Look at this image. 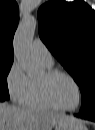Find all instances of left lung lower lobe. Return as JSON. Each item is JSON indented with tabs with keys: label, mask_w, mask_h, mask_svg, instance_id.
<instances>
[{
	"label": "left lung lower lobe",
	"mask_w": 95,
	"mask_h": 130,
	"mask_svg": "<svg viewBox=\"0 0 95 130\" xmlns=\"http://www.w3.org/2000/svg\"><path fill=\"white\" fill-rule=\"evenodd\" d=\"M76 116L83 119L95 121V102H92L87 106L82 107L80 113L77 114Z\"/></svg>",
	"instance_id": "obj_1"
}]
</instances>
